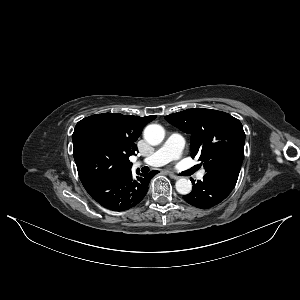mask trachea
Wrapping results in <instances>:
<instances>
[{"mask_svg":"<svg viewBox=\"0 0 300 300\" xmlns=\"http://www.w3.org/2000/svg\"><path fill=\"white\" fill-rule=\"evenodd\" d=\"M196 170H198V167L195 166V167L192 168V172H194Z\"/></svg>","mask_w":300,"mask_h":300,"instance_id":"trachea-1","label":"trachea"}]
</instances>
